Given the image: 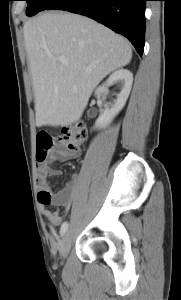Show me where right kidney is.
Wrapping results in <instances>:
<instances>
[{"label":"right kidney","mask_w":181,"mask_h":300,"mask_svg":"<svg viewBox=\"0 0 181 300\" xmlns=\"http://www.w3.org/2000/svg\"><path fill=\"white\" fill-rule=\"evenodd\" d=\"M119 83L121 91L110 107L106 106L100 117L96 120L94 128L106 127L113 118L122 110L131 91L133 74L127 69H119L113 72L109 78L95 92L96 96L102 95L113 83Z\"/></svg>","instance_id":"1"}]
</instances>
